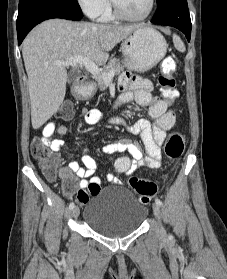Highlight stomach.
I'll return each mask as SVG.
<instances>
[{"instance_id":"0dacf381","label":"stomach","mask_w":227,"mask_h":279,"mask_svg":"<svg viewBox=\"0 0 227 279\" xmlns=\"http://www.w3.org/2000/svg\"><path fill=\"white\" fill-rule=\"evenodd\" d=\"M167 48L162 34L150 27L134 30L121 44L126 67L137 72H145L156 66L166 55ZM94 91V86L89 85L84 90V96L90 97Z\"/></svg>"}]
</instances>
